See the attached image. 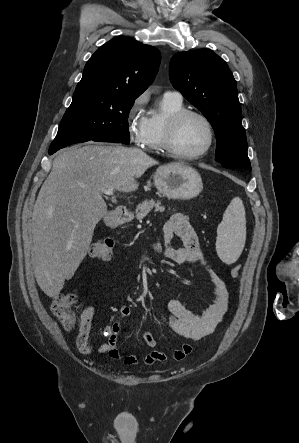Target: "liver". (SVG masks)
I'll list each match as a JSON object with an SVG mask.
<instances>
[{
  "label": "liver",
  "instance_id": "liver-1",
  "mask_svg": "<svg viewBox=\"0 0 299 443\" xmlns=\"http://www.w3.org/2000/svg\"><path fill=\"white\" fill-rule=\"evenodd\" d=\"M158 162L138 148L88 144L60 152L32 214L34 274L57 296L87 254L96 224L107 214L102 189L130 193Z\"/></svg>",
  "mask_w": 299,
  "mask_h": 443
}]
</instances>
